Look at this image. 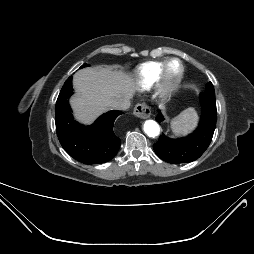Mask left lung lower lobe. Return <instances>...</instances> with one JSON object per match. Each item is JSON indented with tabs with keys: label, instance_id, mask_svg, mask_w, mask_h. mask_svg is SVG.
<instances>
[{
	"label": "left lung lower lobe",
	"instance_id": "left-lung-lower-lobe-1",
	"mask_svg": "<svg viewBox=\"0 0 254 254\" xmlns=\"http://www.w3.org/2000/svg\"><path fill=\"white\" fill-rule=\"evenodd\" d=\"M202 117L197 130L178 140L167 138L164 134L153 145L154 151L162 160L172 163H187L198 159L208 148L216 127L217 110L215 92H202ZM158 123L164 120L161 112L156 117Z\"/></svg>",
	"mask_w": 254,
	"mask_h": 254
}]
</instances>
